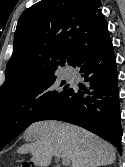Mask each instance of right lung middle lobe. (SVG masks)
<instances>
[{"mask_svg": "<svg viewBox=\"0 0 125 167\" xmlns=\"http://www.w3.org/2000/svg\"><path fill=\"white\" fill-rule=\"evenodd\" d=\"M70 90L69 84L53 76L27 91L0 100V147L22 133L50 104L65 99Z\"/></svg>", "mask_w": 125, "mask_h": 167, "instance_id": "obj_1", "label": "right lung middle lobe"}]
</instances>
